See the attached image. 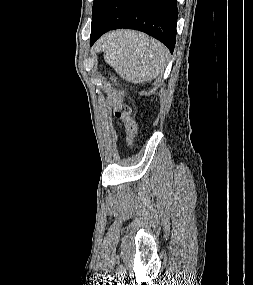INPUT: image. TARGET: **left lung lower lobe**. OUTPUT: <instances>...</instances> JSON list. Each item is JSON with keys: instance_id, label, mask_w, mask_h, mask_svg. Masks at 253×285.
I'll list each match as a JSON object with an SVG mask.
<instances>
[{"instance_id": "obj_1", "label": "left lung lower lobe", "mask_w": 253, "mask_h": 285, "mask_svg": "<svg viewBox=\"0 0 253 285\" xmlns=\"http://www.w3.org/2000/svg\"><path fill=\"white\" fill-rule=\"evenodd\" d=\"M177 16L176 0H107L91 26L90 45L109 30L128 28L153 36L173 53Z\"/></svg>"}]
</instances>
